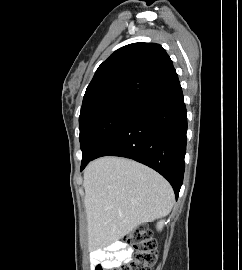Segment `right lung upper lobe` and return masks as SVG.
Here are the masks:
<instances>
[{
	"label": "right lung upper lobe",
	"instance_id": "cb5924a9",
	"mask_svg": "<svg viewBox=\"0 0 242 270\" xmlns=\"http://www.w3.org/2000/svg\"><path fill=\"white\" fill-rule=\"evenodd\" d=\"M177 78L173 63L161 45H126L98 67L86 89L81 112L119 100L138 103Z\"/></svg>",
	"mask_w": 242,
	"mask_h": 270
}]
</instances>
